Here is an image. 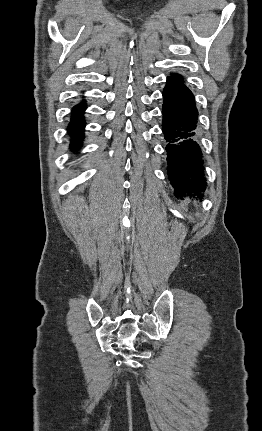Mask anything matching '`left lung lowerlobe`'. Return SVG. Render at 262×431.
Listing matches in <instances>:
<instances>
[{
    "instance_id": "obj_1",
    "label": "left lung lower lobe",
    "mask_w": 262,
    "mask_h": 431,
    "mask_svg": "<svg viewBox=\"0 0 262 431\" xmlns=\"http://www.w3.org/2000/svg\"><path fill=\"white\" fill-rule=\"evenodd\" d=\"M162 130L168 178L176 196H201L206 189L204 162L197 137L198 111L192 92L168 77L163 91Z\"/></svg>"
}]
</instances>
